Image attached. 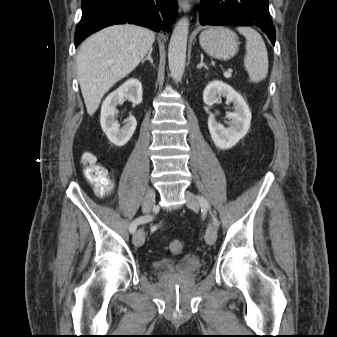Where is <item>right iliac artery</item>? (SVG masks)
Listing matches in <instances>:
<instances>
[{
	"label": "right iliac artery",
	"mask_w": 337,
	"mask_h": 337,
	"mask_svg": "<svg viewBox=\"0 0 337 337\" xmlns=\"http://www.w3.org/2000/svg\"><path fill=\"white\" fill-rule=\"evenodd\" d=\"M152 218H153L152 216L146 215V216H140V217L134 219L133 222L129 226L130 233H134L136 231V228H137L138 225H140L142 223H145V222H148V221H151Z\"/></svg>",
	"instance_id": "1"
}]
</instances>
